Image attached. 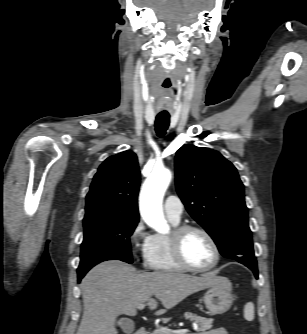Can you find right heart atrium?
<instances>
[{
  "label": "right heart atrium",
  "instance_id": "1",
  "mask_svg": "<svg viewBox=\"0 0 307 334\" xmlns=\"http://www.w3.org/2000/svg\"><path fill=\"white\" fill-rule=\"evenodd\" d=\"M153 235L147 230L145 223L139 219L133 226L129 241L132 252L137 258H145L152 242Z\"/></svg>",
  "mask_w": 307,
  "mask_h": 334
}]
</instances>
